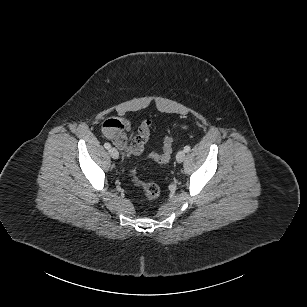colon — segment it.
<instances>
[{
  "mask_svg": "<svg viewBox=\"0 0 307 307\" xmlns=\"http://www.w3.org/2000/svg\"><path fill=\"white\" fill-rule=\"evenodd\" d=\"M182 128L187 129V125H182ZM173 150V136L172 133L169 132L163 142V150L161 153H151L149 154V158L154 160L157 163L165 164L167 163L172 154ZM130 177L132 183L141 188L148 199H155L160 194V188L154 183L142 182L138 179L136 174V168H132L130 171Z\"/></svg>",
  "mask_w": 307,
  "mask_h": 307,
  "instance_id": "5ec220e1",
  "label": "colon"
}]
</instances>
